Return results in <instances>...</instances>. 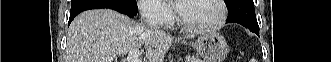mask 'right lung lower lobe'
<instances>
[{
	"instance_id": "1",
	"label": "right lung lower lobe",
	"mask_w": 331,
	"mask_h": 62,
	"mask_svg": "<svg viewBox=\"0 0 331 62\" xmlns=\"http://www.w3.org/2000/svg\"><path fill=\"white\" fill-rule=\"evenodd\" d=\"M100 8H109V9H113V10H116L120 13H123L125 15H127L128 17L132 18V17H135L136 15L134 14H131L127 11H124L122 9H119L117 7H112V6H85V7H81V8H78V9H75V10H71L70 11V18H69V23L70 24L72 22V20L81 12L85 11V10H90V9H100Z\"/></svg>"
}]
</instances>
